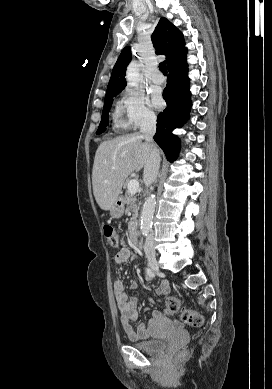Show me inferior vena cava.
Returning <instances> with one entry per match:
<instances>
[{
  "label": "inferior vena cava",
  "instance_id": "inferior-vena-cava-1",
  "mask_svg": "<svg viewBox=\"0 0 272 389\" xmlns=\"http://www.w3.org/2000/svg\"><path fill=\"white\" fill-rule=\"evenodd\" d=\"M156 123V117L150 115L145 118L140 128V132L144 136L146 142L151 145L150 154L145 163L143 174L144 183L147 186L155 181L160 167V154L153 144V136L156 132ZM144 251L145 253H155L154 238L152 234H149L146 237Z\"/></svg>",
  "mask_w": 272,
  "mask_h": 389
}]
</instances>
